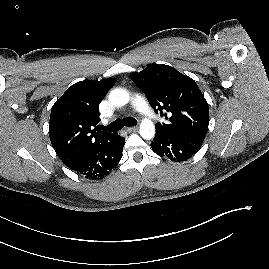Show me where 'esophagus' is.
<instances>
[{"instance_id":"esophagus-1","label":"esophagus","mask_w":269,"mask_h":269,"mask_svg":"<svg viewBox=\"0 0 269 269\" xmlns=\"http://www.w3.org/2000/svg\"><path fill=\"white\" fill-rule=\"evenodd\" d=\"M138 127L137 126H133V127H126V131L127 132H134L137 131Z\"/></svg>"}]
</instances>
